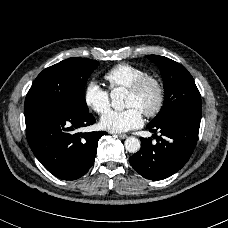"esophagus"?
<instances>
[{"mask_svg": "<svg viewBox=\"0 0 228 228\" xmlns=\"http://www.w3.org/2000/svg\"><path fill=\"white\" fill-rule=\"evenodd\" d=\"M118 137H119L120 139H126L128 136H127V134L121 133V134H118Z\"/></svg>", "mask_w": 228, "mask_h": 228, "instance_id": "34e87169", "label": "esophagus"}]
</instances>
